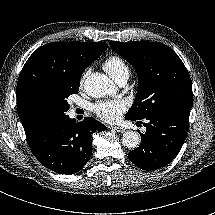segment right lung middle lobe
Wrapping results in <instances>:
<instances>
[{
	"instance_id": "dd1d6c3e",
	"label": "right lung middle lobe",
	"mask_w": 215,
	"mask_h": 215,
	"mask_svg": "<svg viewBox=\"0 0 215 215\" xmlns=\"http://www.w3.org/2000/svg\"><path fill=\"white\" fill-rule=\"evenodd\" d=\"M79 85L80 83H65L54 89L36 90L30 98V105L37 118L46 125L65 118V112L70 107L67 98L78 93Z\"/></svg>"
}]
</instances>
